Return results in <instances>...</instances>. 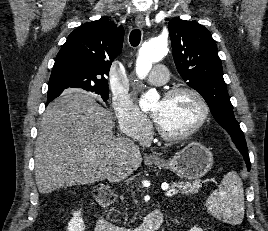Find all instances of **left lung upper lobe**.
Returning a JSON list of instances; mask_svg holds the SVG:
<instances>
[{
    "mask_svg": "<svg viewBox=\"0 0 268 231\" xmlns=\"http://www.w3.org/2000/svg\"><path fill=\"white\" fill-rule=\"evenodd\" d=\"M168 28L179 74L203 96L212 115L230 134L238 150L247 151L243 132L233 114L221 60L212 35L195 21L173 19L169 21Z\"/></svg>",
    "mask_w": 268,
    "mask_h": 231,
    "instance_id": "1",
    "label": "left lung upper lobe"
}]
</instances>
